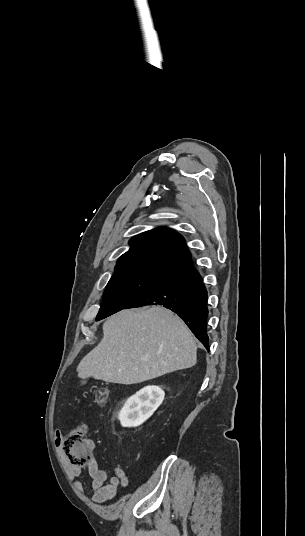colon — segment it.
<instances>
[{
  "label": "colon",
  "mask_w": 305,
  "mask_h": 536,
  "mask_svg": "<svg viewBox=\"0 0 305 536\" xmlns=\"http://www.w3.org/2000/svg\"><path fill=\"white\" fill-rule=\"evenodd\" d=\"M109 399V391L101 389L96 395V403L99 406H104ZM86 425H80L74 429L70 435H63L62 444L64 451L68 453L69 462H75V469H83L84 463L88 458V453L91 451V443L85 434Z\"/></svg>",
  "instance_id": "colon-1"
}]
</instances>
